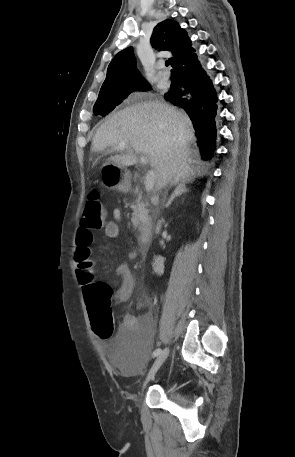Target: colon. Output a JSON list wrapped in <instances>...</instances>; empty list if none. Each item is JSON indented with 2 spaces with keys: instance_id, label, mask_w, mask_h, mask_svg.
I'll use <instances>...</instances> for the list:
<instances>
[{
  "instance_id": "colon-1",
  "label": "colon",
  "mask_w": 295,
  "mask_h": 457,
  "mask_svg": "<svg viewBox=\"0 0 295 457\" xmlns=\"http://www.w3.org/2000/svg\"><path fill=\"white\" fill-rule=\"evenodd\" d=\"M106 214L100 193L92 190L81 214V227L100 229L104 226ZM77 275L84 285V300L89 319L95 334L102 340L108 339L113 332L111 309V289L102 282L95 281L92 264L87 254L76 257Z\"/></svg>"
}]
</instances>
